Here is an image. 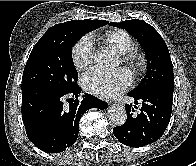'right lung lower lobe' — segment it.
I'll return each mask as SVG.
<instances>
[{"mask_svg": "<svg viewBox=\"0 0 196 166\" xmlns=\"http://www.w3.org/2000/svg\"><path fill=\"white\" fill-rule=\"evenodd\" d=\"M81 89L69 92L47 88L22 91V119L29 140L40 150L59 153L72 146L78 137L81 116L90 108L106 109L108 104L85 94L79 101ZM67 99L69 107L64 104Z\"/></svg>", "mask_w": 196, "mask_h": 166, "instance_id": "obj_1", "label": "right lung lower lobe"}]
</instances>
